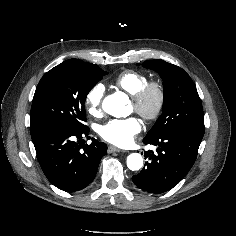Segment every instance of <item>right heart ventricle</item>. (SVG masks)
I'll use <instances>...</instances> for the list:
<instances>
[{
    "instance_id": "obj_1",
    "label": "right heart ventricle",
    "mask_w": 236,
    "mask_h": 236,
    "mask_svg": "<svg viewBox=\"0 0 236 236\" xmlns=\"http://www.w3.org/2000/svg\"><path fill=\"white\" fill-rule=\"evenodd\" d=\"M149 77L147 74L135 70H126L120 73L114 84L127 92L131 96L135 95L147 82Z\"/></svg>"
}]
</instances>
